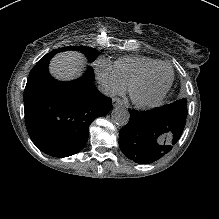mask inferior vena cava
Listing matches in <instances>:
<instances>
[{"mask_svg":"<svg viewBox=\"0 0 219 219\" xmlns=\"http://www.w3.org/2000/svg\"><path fill=\"white\" fill-rule=\"evenodd\" d=\"M97 89L101 94L107 97H114L116 95V92L108 84L105 83L98 84Z\"/></svg>","mask_w":219,"mask_h":219,"instance_id":"602c4592","label":"inferior vena cava"}]
</instances>
